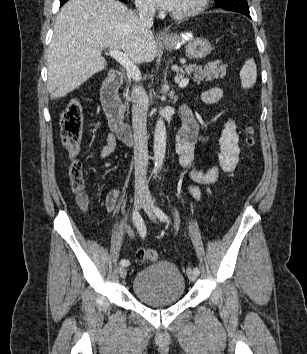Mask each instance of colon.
Wrapping results in <instances>:
<instances>
[{"label":"colon","mask_w":307,"mask_h":354,"mask_svg":"<svg viewBox=\"0 0 307 354\" xmlns=\"http://www.w3.org/2000/svg\"><path fill=\"white\" fill-rule=\"evenodd\" d=\"M83 111L77 99H71L61 115V138L62 143L69 154L68 176L73 191L78 195L79 204L84 207L87 200L84 194V178L81 162L78 160L80 143L82 139ZM247 144L253 147L255 144L254 130L247 128ZM140 262L156 261L159 254L150 248H141L136 254Z\"/></svg>","instance_id":"colon-1"}]
</instances>
